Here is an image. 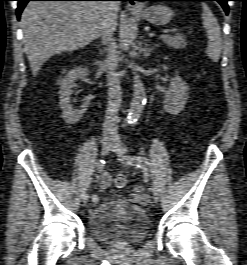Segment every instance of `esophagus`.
Here are the masks:
<instances>
[{"label": "esophagus", "mask_w": 247, "mask_h": 265, "mask_svg": "<svg viewBox=\"0 0 247 265\" xmlns=\"http://www.w3.org/2000/svg\"><path fill=\"white\" fill-rule=\"evenodd\" d=\"M127 8L130 11H133V12H137V11H139L141 9V7H140V5H139L137 0L128 1Z\"/></svg>", "instance_id": "34e87169"}]
</instances>
